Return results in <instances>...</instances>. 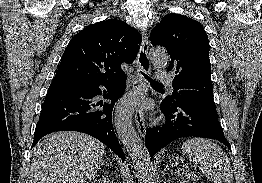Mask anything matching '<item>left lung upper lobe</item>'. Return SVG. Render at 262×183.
I'll return each mask as SVG.
<instances>
[{
	"mask_svg": "<svg viewBox=\"0 0 262 183\" xmlns=\"http://www.w3.org/2000/svg\"><path fill=\"white\" fill-rule=\"evenodd\" d=\"M153 45L170 54L168 71L176 74L169 103L180 100L213 102L209 41L202 25L180 14H167L150 34Z\"/></svg>",
	"mask_w": 262,
	"mask_h": 183,
	"instance_id": "left-lung-upper-lobe-1",
	"label": "left lung upper lobe"
}]
</instances>
